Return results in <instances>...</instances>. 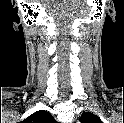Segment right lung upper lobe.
Segmentation results:
<instances>
[{"label": "right lung upper lobe", "instance_id": "right-lung-upper-lobe-1", "mask_svg": "<svg viewBox=\"0 0 124 123\" xmlns=\"http://www.w3.org/2000/svg\"><path fill=\"white\" fill-rule=\"evenodd\" d=\"M23 122L25 123H56L53 116L44 110L37 111L31 116L26 118Z\"/></svg>", "mask_w": 124, "mask_h": 123}]
</instances>
